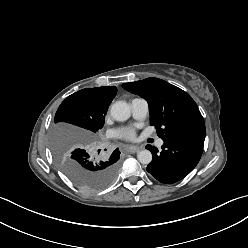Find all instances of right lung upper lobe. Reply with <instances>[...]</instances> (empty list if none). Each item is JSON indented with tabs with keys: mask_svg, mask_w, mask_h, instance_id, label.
Instances as JSON below:
<instances>
[{
	"mask_svg": "<svg viewBox=\"0 0 248 248\" xmlns=\"http://www.w3.org/2000/svg\"><path fill=\"white\" fill-rule=\"evenodd\" d=\"M83 91L90 99L97 101L99 104L107 107L108 109V106L117 93V88L115 86H106L97 88H86L83 89Z\"/></svg>",
	"mask_w": 248,
	"mask_h": 248,
	"instance_id": "right-lung-upper-lobe-1",
	"label": "right lung upper lobe"
}]
</instances>
